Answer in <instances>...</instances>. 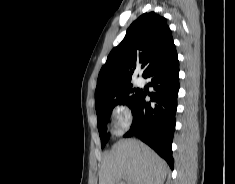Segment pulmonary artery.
Instances as JSON below:
<instances>
[{
    "label": "pulmonary artery",
    "instance_id": "1",
    "mask_svg": "<svg viewBox=\"0 0 235 184\" xmlns=\"http://www.w3.org/2000/svg\"><path fill=\"white\" fill-rule=\"evenodd\" d=\"M136 84L140 87L145 85L144 79L142 77H139L136 81Z\"/></svg>",
    "mask_w": 235,
    "mask_h": 184
}]
</instances>
